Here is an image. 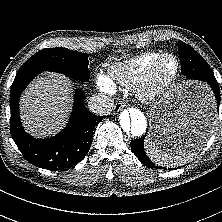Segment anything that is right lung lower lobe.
Segmentation results:
<instances>
[{"label":"right lung lower lobe","mask_w":222,"mask_h":222,"mask_svg":"<svg viewBox=\"0 0 222 222\" xmlns=\"http://www.w3.org/2000/svg\"><path fill=\"white\" fill-rule=\"evenodd\" d=\"M42 71H22L16 74L11 86L10 131L23 157L38 167L62 170L81 161L88 152L96 125L103 119L88 111L84 105L85 95L75 91L74 107L66 127L56 136L36 139L28 135L20 122L19 98L30 81Z\"/></svg>","instance_id":"98d812e1"}]
</instances>
